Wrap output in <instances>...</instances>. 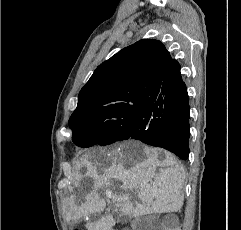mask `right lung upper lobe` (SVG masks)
I'll return each mask as SVG.
<instances>
[{
  "label": "right lung upper lobe",
  "instance_id": "obj_1",
  "mask_svg": "<svg viewBox=\"0 0 241 230\" xmlns=\"http://www.w3.org/2000/svg\"><path fill=\"white\" fill-rule=\"evenodd\" d=\"M172 59L157 40L142 39L97 67L81 89L70 128L82 121H101L117 108H135L156 99Z\"/></svg>",
  "mask_w": 241,
  "mask_h": 230
}]
</instances>
